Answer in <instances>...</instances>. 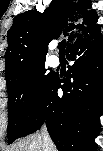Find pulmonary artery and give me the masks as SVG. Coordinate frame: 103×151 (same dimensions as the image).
<instances>
[{"label": "pulmonary artery", "mask_w": 103, "mask_h": 151, "mask_svg": "<svg viewBox=\"0 0 103 151\" xmlns=\"http://www.w3.org/2000/svg\"><path fill=\"white\" fill-rule=\"evenodd\" d=\"M58 64V59L56 57L51 58V65L56 66Z\"/></svg>", "instance_id": "1"}]
</instances>
